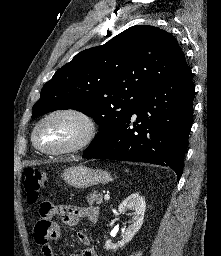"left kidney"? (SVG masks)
<instances>
[{
  "label": "left kidney",
  "mask_w": 221,
  "mask_h": 256,
  "mask_svg": "<svg viewBox=\"0 0 221 256\" xmlns=\"http://www.w3.org/2000/svg\"><path fill=\"white\" fill-rule=\"evenodd\" d=\"M128 209L132 212V217L129 221V225L123 236L122 240L119 241L117 244H113L111 240H107L105 243V249L109 250H116L118 247L122 248L132 240L134 235L139 231L143 224L144 213L146 209V203L144 199L138 194L133 193L129 195L118 207V211L120 213H125Z\"/></svg>",
  "instance_id": "1"
}]
</instances>
